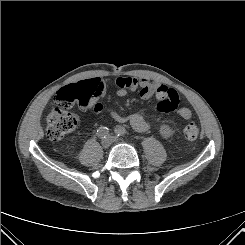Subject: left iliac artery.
Returning a JSON list of instances; mask_svg holds the SVG:
<instances>
[{
  "instance_id": "obj_1",
  "label": "left iliac artery",
  "mask_w": 245,
  "mask_h": 245,
  "mask_svg": "<svg viewBox=\"0 0 245 245\" xmlns=\"http://www.w3.org/2000/svg\"><path fill=\"white\" fill-rule=\"evenodd\" d=\"M126 133H127L126 129L124 127H122V126H117L115 128V134L117 136H125Z\"/></svg>"
}]
</instances>
